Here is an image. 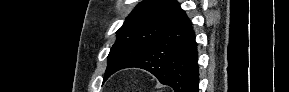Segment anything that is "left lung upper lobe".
<instances>
[{
    "label": "left lung upper lobe",
    "instance_id": "obj_1",
    "mask_svg": "<svg viewBox=\"0 0 289 92\" xmlns=\"http://www.w3.org/2000/svg\"><path fill=\"white\" fill-rule=\"evenodd\" d=\"M184 14V10L175 0L140 2L116 32L117 39L108 55L104 80L142 53Z\"/></svg>",
    "mask_w": 289,
    "mask_h": 92
}]
</instances>
